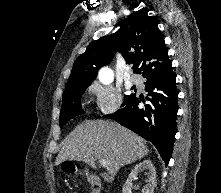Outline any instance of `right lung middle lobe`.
<instances>
[{"label":"right lung middle lobe","mask_w":221,"mask_h":193,"mask_svg":"<svg viewBox=\"0 0 221 193\" xmlns=\"http://www.w3.org/2000/svg\"><path fill=\"white\" fill-rule=\"evenodd\" d=\"M88 86H74L65 88L63 102L60 111V127H63L71 118L83 114L80 99ZM134 94L125 95L124 102H127Z\"/></svg>","instance_id":"obj_1"}]
</instances>
